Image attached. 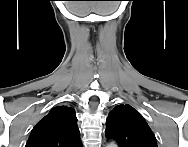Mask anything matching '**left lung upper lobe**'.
I'll return each instance as SVG.
<instances>
[{
    "instance_id": "5c2ea615",
    "label": "left lung upper lobe",
    "mask_w": 188,
    "mask_h": 147,
    "mask_svg": "<svg viewBox=\"0 0 188 147\" xmlns=\"http://www.w3.org/2000/svg\"><path fill=\"white\" fill-rule=\"evenodd\" d=\"M106 136L120 147H157L155 136L145 119L128 104L116 106L107 118Z\"/></svg>"
}]
</instances>
